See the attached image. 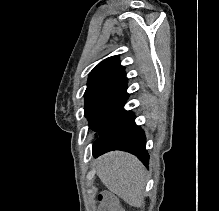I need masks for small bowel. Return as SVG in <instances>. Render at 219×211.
<instances>
[{"mask_svg":"<svg viewBox=\"0 0 219 211\" xmlns=\"http://www.w3.org/2000/svg\"><path fill=\"white\" fill-rule=\"evenodd\" d=\"M99 201L101 206L100 211H122L118 206L115 197L111 194H102Z\"/></svg>","mask_w":219,"mask_h":211,"instance_id":"1","label":"small bowel"}]
</instances>
